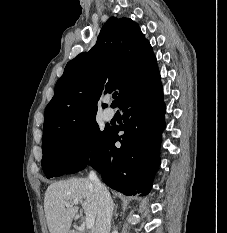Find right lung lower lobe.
<instances>
[{
  "instance_id": "1",
  "label": "right lung lower lobe",
  "mask_w": 227,
  "mask_h": 233,
  "mask_svg": "<svg viewBox=\"0 0 227 233\" xmlns=\"http://www.w3.org/2000/svg\"><path fill=\"white\" fill-rule=\"evenodd\" d=\"M120 108L124 124L109 129L90 165L112 189L125 195H146L160 164L158 154L165 128L160 80ZM119 131L124 134L118 136ZM116 141L121 143L120 148L115 146Z\"/></svg>"
}]
</instances>
